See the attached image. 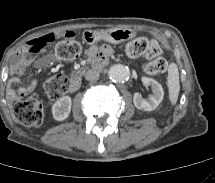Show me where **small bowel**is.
I'll return each instance as SVG.
<instances>
[{"label":"small bowel","instance_id":"1","mask_svg":"<svg viewBox=\"0 0 215 183\" xmlns=\"http://www.w3.org/2000/svg\"><path fill=\"white\" fill-rule=\"evenodd\" d=\"M72 33L67 31L65 33L51 32L47 33L39 38L31 40L28 45L19 53L18 59L12 67L13 76L8 82V98L14 101L18 98L25 96L27 93L33 91L36 87L35 81L23 82L19 79V76L26 72V70L31 66H49L57 62V58L51 54H44L45 49L39 52H33L32 48L39 42L45 41L49 45L58 37L63 34ZM108 52V47H102L99 49L97 46H92L87 50V54L90 57H95L99 51ZM37 54V57L33 55Z\"/></svg>","mask_w":215,"mask_h":183}]
</instances>
